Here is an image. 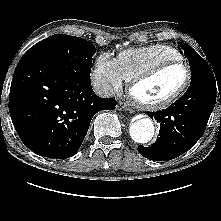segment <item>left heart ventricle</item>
<instances>
[{
    "instance_id": "left-heart-ventricle-1",
    "label": "left heart ventricle",
    "mask_w": 221,
    "mask_h": 221,
    "mask_svg": "<svg viewBox=\"0 0 221 221\" xmlns=\"http://www.w3.org/2000/svg\"><path fill=\"white\" fill-rule=\"evenodd\" d=\"M187 70L182 65L169 67L152 79L140 84L135 94L147 102H157L175 93L184 83Z\"/></svg>"
}]
</instances>
